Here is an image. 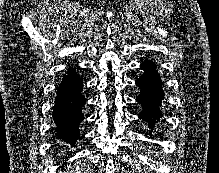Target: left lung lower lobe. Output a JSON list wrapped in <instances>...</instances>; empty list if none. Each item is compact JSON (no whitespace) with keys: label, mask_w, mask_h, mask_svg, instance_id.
<instances>
[{"label":"left lung lower lobe","mask_w":219,"mask_h":173,"mask_svg":"<svg viewBox=\"0 0 219 173\" xmlns=\"http://www.w3.org/2000/svg\"><path fill=\"white\" fill-rule=\"evenodd\" d=\"M140 66L144 73L136 80V85L141 89L136 100L143 106L139 118L146 121L150 127H153L161 117L159 107L164 99L162 82L154 62L145 60ZM150 133H152V130L149 131Z\"/></svg>","instance_id":"obj_1"}]
</instances>
